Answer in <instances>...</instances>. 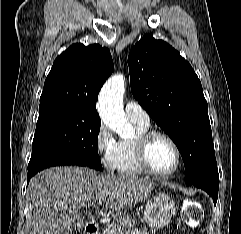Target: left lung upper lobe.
Here are the masks:
<instances>
[{
	"mask_svg": "<svg viewBox=\"0 0 241 234\" xmlns=\"http://www.w3.org/2000/svg\"><path fill=\"white\" fill-rule=\"evenodd\" d=\"M131 91L178 147L185 182L219 185L208 105L191 65L169 44L145 35L128 56Z\"/></svg>",
	"mask_w": 241,
	"mask_h": 234,
	"instance_id": "left-lung-upper-lobe-1",
	"label": "left lung upper lobe"
}]
</instances>
